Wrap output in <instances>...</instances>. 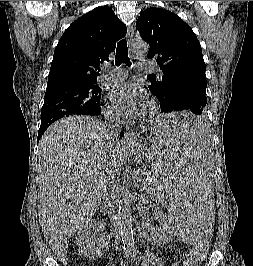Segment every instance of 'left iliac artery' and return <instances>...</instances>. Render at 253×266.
<instances>
[{"label":"left iliac artery","instance_id":"left-iliac-artery-1","mask_svg":"<svg viewBox=\"0 0 253 266\" xmlns=\"http://www.w3.org/2000/svg\"><path fill=\"white\" fill-rule=\"evenodd\" d=\"M133 252L135 253V255H138V250H137V247L136 246H133Z\"/></svg>","mask_w":253,"mask_h":266}]
</instances>
